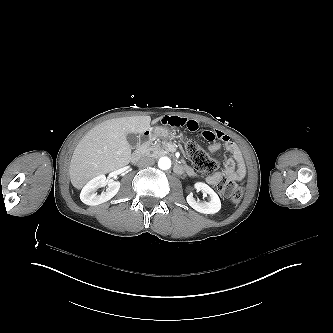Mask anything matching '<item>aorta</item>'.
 I'll return each mask as SVG.
<instances>
[{"instance_id":"1","label":"aorta","mask_w":333,"mask_h":333,"mask_svg":"<svg viewBox=\"0 0 333 333\" xmlns=\"http://www.w3.org/2000/svg\"><path fill=\"white\" fill-rule=\"evenodd\" d=\"M158 166L162 170H167L171 167V160L168 157H161L158 161Z\"/></svg>"}]
</instances>
